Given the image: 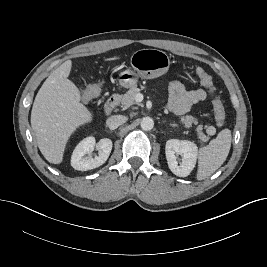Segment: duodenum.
Instances as JSON below:
<instances>
[{
  "mask_svg": "<svg viewBox=\"0 0 267 267\" xmlns=\"http://www.w3.org/2000/svg\"><path fill=\"white\" fill-rule=\"evenodd\" d=\"M119 99V94L115 93L106 100L104 105V111L106 114H110L117 107Z\"/></svg>",
  "mask_w": 267,
  "mask_h": 267,
  "instance_id": "410a0bca",
  "label": "duodenum"
}]
</instances>
